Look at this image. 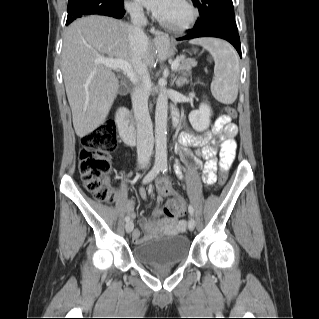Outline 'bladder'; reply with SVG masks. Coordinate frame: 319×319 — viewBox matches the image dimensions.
I'll return each mask as SVG.
<instances>
[{"label":"bladder","mask_w":319,"mask_h":319,"mask_svg":"<svg viewBox=\"0 0 319 319\" xmlns=\"http://www.w3.org/2000/svg\"><path fill=\"white\" fill-rule=\"evenodd\" d=\"M190 240L179 234L152 237L135 245L134 257L145 265H175L188 257Z\"/></svg>","instance_id":"obj_1"}]
</instances>
